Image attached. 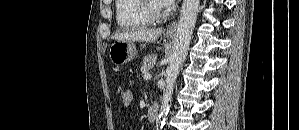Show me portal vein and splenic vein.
Instances as JSON below:
<instances>
[{"label":"portal vein and splenic vein","mask_w":299,"mask_h":130,"mask_svg":"<svg viewBox=\"0 0 299 130\" xmlns=\"http://www.w3.org/2000/svg\"><path fill=\"white\" fill-rule=\"evenodd\" d=\"M143 78H144V80H149V79H151V75L146 73V74H144Z\"/></svg>","instance_id":"obj_1"}]
</instances>
